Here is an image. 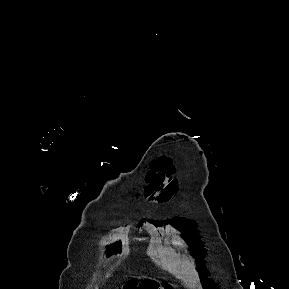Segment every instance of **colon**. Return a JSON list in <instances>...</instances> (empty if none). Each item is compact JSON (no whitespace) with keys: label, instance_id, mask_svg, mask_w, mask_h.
<instances>
[{"label":"colon","instance_id":"obj_1","mask_svg":"<svg viewBox=\"0 0 289 289\" xmlns=\"http://www.w3.org/2000/svg\"><path fill=\"white\" fill-rule=\"evenodd\" d=\"M124 289H172V288L166 282L159 285L157 282L151 280H144L142 282L129 281L125 284Z\"/></svg>","mask_w":289,"mask_h":289}]
</instances>
